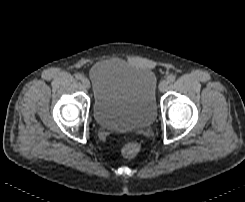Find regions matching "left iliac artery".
<instances>
[{
  "mask_svg": "<svg viewBox=\"0 0 245 202\" xmlns=\"http://www.w3.org/2000/svg\"><path fill=\"white\" fill-rule=\"evenodd\" d=\"M175 76L174 75H169L168 76V78H167V81L169 82V83H172V82H174L175 81Z\"/></svg>",
  "mask_w": 245,
  "mask_h": 202,
  "instance_id": "1",
  "label": "left iliac artery"
}]
</instances>
